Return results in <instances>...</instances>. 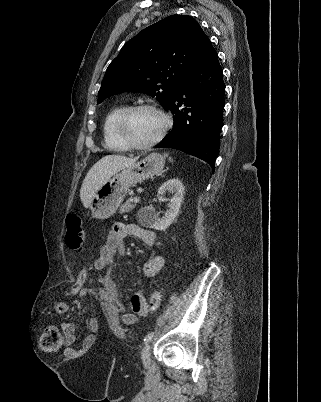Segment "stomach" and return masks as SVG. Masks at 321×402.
Returning <instances> with one entry per match:
<instances>
[{"mask_svg":"<svg viewBox=\"0 0 321 402\" xmlns=\"http://www.w3.org/2000/svg\"><path fill=\"white\" fill-rule=\"evenodd\" d=\"M164 165L165 160L160 154L151 153L114 174L92 197L90 204L92 216L97 219L111 217L131 186L161 173Z\"/></svg>","mask_w":321,"mask_h":402,"instance_id":"obj_1","label":"stomach"}]
</instances>
